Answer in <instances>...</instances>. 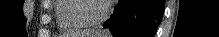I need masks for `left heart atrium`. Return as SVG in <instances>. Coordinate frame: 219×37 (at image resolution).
Listing matches in <instances>:
<instances>
[{
  "label": "left heart atrium",
  "mask_w": 219,
  "mask_h": 37,
  "mask_svg": "<svg viewBox=\"0 0 219 37\" xmlns=\"http://www.w3.org/2000/svg\"><path fill=\"white\" fill-rule=\"evenodd\" d=\"M103 2H105V3H109L110 1L106 0V1H103Z\"/></svg>",
  "instance_id": "obj_1"
}]
</instances>
